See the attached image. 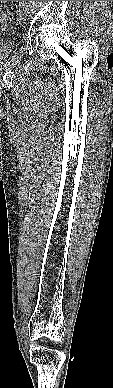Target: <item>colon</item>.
Returning <instances> with one entry per match:
<instances>
[{
	"label": "colon",
	"instance_id": "obj_1",
	"mask_svg": "<svg viewBox=\"0 0 113 388\" xmlns=\"http://www.w3.org/2000/svg\"><path fill=\"white\" fill-rule=\"evenodd\" d=\"M6 19H7L8 21H12V20L14 19V15H13V14H8V15L6 16Z\"/></svg>",
	"mask_w": 113,
	"mask_h": 388
}]
</instances>
